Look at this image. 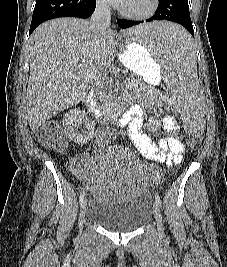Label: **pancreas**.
Wrapping results in <instances>:
<instances>
[{
    "label": "pancreas",
    "instance_id": "cf45deb5",
    "mask_svg": "<svg viewBox=\"0 0 227 267\" xmlns=\"http://www.w3.org/2000/svg\"><path fill=\"white\" fill-rule=\"evenodd\" d=\"M127 86L130 90L134 91V92H139V91H146L149 90L150 87L145 85L143 82H141L140 79H134L133 77H130L127 79ZM110 96H111V92H106L103 93L102 97H103V101L106 105H108L110 103Z\"/></svg>",
    "mask_w": 227,
    "mask_h": 267
}]
</instances>
